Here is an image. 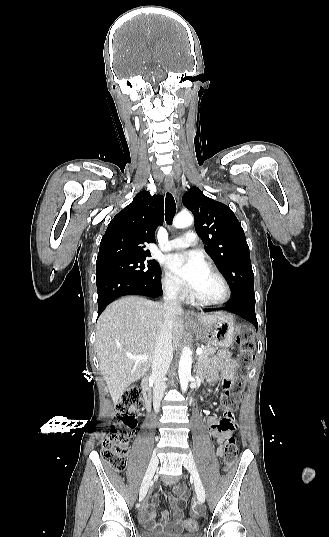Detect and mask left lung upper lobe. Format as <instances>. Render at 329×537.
I'll return each instance as SVG.
<instances>
[{"label":"left lung upper lobe","mask_w":329,"mask_h":537,"mask_svg":"<svg viewBox=\"0 0 329 537\" xmlns=\"http://www.w3.org/2000/svg\"><path fill=\"white\" fill-rule=\"evenodd\" d=\"M183 204L194 215L195 230L207 254L228 279L232 300H255L254 274L244 231L233 211L225 204L192 187L183 195Z\"/></svg>","instance_id":"left-lung-upper-lobe-1"}]
</instances>
